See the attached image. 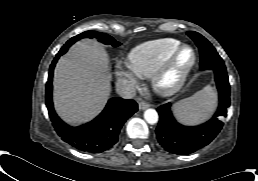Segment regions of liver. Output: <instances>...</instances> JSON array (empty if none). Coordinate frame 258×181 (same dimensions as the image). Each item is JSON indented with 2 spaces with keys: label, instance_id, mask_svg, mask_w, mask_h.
<instances>
[{
  "label": "liver",
  "instance_id": "liver-1",
  "mask_svg": "<svg viewBox=\"0 0 258 181\" xmlns=\"http://www.w3.org/2000/svg\"><path fill=\"white\" fill-rule=\"evenodd\" d=\"M109 59L95 40L75 43L58 61L53 78V100L59 116L70 124L95 117L110 95Z\"/></svg>",
  "mask_w": 258,
  "mask_h": 181
}]
</instances>
